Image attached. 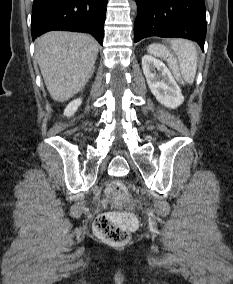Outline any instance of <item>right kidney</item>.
Instances as JSON below:
<instances>
[{"label": "right kidney", "mask_w": 233, "mask_h": 284, "mask_svg": "<svg viewBox=\"0 0 233 284\" xmlns=\"http://www.w3.org/2000/svg\"><path fill=\"white\" fill-rule=\"evenodd\" d=\"M81 103H82V99L80 98L75 99L72 102H70L64 110V115L67 117L74 115V113L77 111Z\"/></svg>", "instance_id": "obj_1"}]
</instances>
